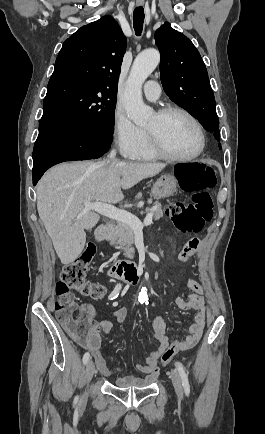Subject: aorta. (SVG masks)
Returning a JSON list of instances; mask_svg holds the SVG:
<instances>
[{
	"mask_svg": "<svg viewBox=\"0 0 265 434\" xmlns=\"http://www.w3.org/2000/svg\"><path fill=\"white\" fill-rule=\"evenodd\" d=\"M160 62V54L154 48H148L136 56L130 70L123 96L126 114L136 126H144L150 120L153 110L145 106L142 100V86L148 76L154 72Z\"/></svg>",
	"mask_w": 265,
	"mask_h": 434,
	"instance_id": "aorta-1",
	"label": "aorta"
}]
</instances>
